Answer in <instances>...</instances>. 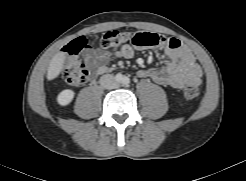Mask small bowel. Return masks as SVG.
<instances>
[{
  "label": "small bowel",
  "mask_w": 246,
  "mask_h": 181,
  "mask_svg": "<svg viewBox=\"0 0 246 181\" xmlns=\"http://www.w3.org/2000/svg\"><path fill=\"white\" fill-rule=\"evenodd\" d=\"M170 41L171 44L165 46V54L169 62L160 69H142L138 75L142 78H149L159 85L175 89H181L187 83H201L202 70L191 50L175 38H170ZM134 54L135 49L129 44L123 45L115 52L90 46L83 51V57L90 65L93 76L108 72L109 61L112 57L129 59Z\"/></svg>",
  "instance_id": "small-bowel-1"
}]
</instances>
